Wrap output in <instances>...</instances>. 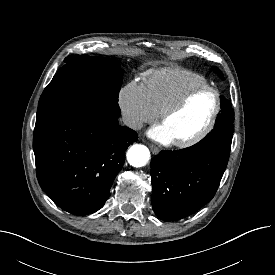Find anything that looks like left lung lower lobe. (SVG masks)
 <instances>
[{"mask_svg":"<svg viewBox=\"0 0 275 275\" xmlns=\"http://www.w3.org/2000/svg\"><path fill=\"white\" fill-rule=\"evenodd\" d=\"M232 136L228 130L211 131L191 147L162 150L151 159L152 207L158 218L182 219L214 197L228 163Z\"/></svg>","mask_w":275,"mask_h":275,"instance_id":"1","label":"left lung lower lobe"}]
</instances>
